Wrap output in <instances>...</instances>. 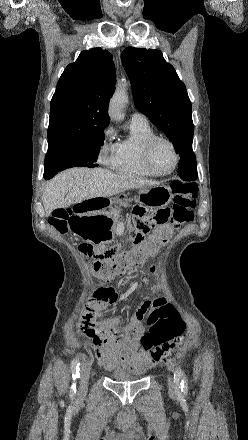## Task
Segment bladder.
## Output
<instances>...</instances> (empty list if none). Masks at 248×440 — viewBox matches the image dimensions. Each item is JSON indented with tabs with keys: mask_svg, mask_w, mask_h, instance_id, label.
Wrapping results in <instances>:
<instances>
[{
	"mask_svg": "<svg viewBox=\"0 0 248 440\" xmlns=\"http://www.w3.org/2000/svg\"><path fill=\"white\" fill-rule=\"evenodd\" d=\"M142 373L130 370L126 367H118L111 371L110 378L117 382H132L139 380Z\"/></svg>",
	"mask_w": 248,
	"mask_h": 440,
	"instance_id": "1",
	"label": "bladder"
}]
</instances>
